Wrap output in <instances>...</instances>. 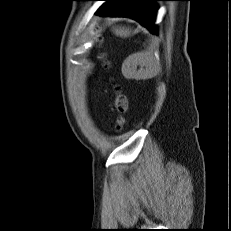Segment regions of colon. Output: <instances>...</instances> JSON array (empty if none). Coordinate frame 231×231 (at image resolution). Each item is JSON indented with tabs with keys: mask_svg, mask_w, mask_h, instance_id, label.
Returning a JSON list of instances; mask_svg holds the SVG:
<instances>
[{
	"mask_svg": "<svg viewBox=\"0 0 231 231\" xmlns=\"http://www.w3.org/2000/svg\"><path fill=\"white\" fill-rule=\"evenodd\" d=\"M113 106L115 111L118 113L115 123L117 128H120L124 124V115L128 111L129 101L127 97L123 95L119 90H117L115 93Z\"/></svg>",
	"mask_w": 231,
	"mask_h": 231,
	"instance_id": "colon-1",
	"label": "colon"
}]
</instances>
